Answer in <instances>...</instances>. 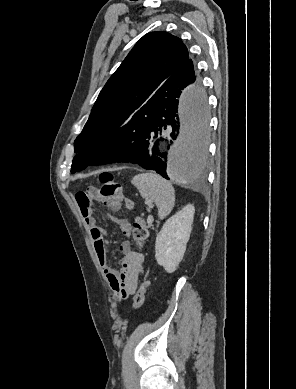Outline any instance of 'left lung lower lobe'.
Returning <instances> with one entry per match:
<instances>
[{
  "label": "left lung lower lobe",
  "mask_w": 296,
  "mask_h": 389,
  "mask_svg": "<svg viewBox=\"0 0 296 389\" xmlns=\"http://www.w3.org/2000/svg\"><path fill=\"white\" fill-rule=\"evenodd\" d=\"M185 87L191 95L193 108V123L186 130V138L194 164L192 178L198 177L207 157V102L201 82L195 81L191 74L169 78L155 92L151 103L137 111L101 147L98 165L130 162L169 179L166 175L167 152H161L159 146L164 140L167 141L162 134L163 130L170 129L173 140L179 134L178 98ZM169 142L172 143V140Z\"/></svg>",
  "instance_id": "left-lung-lower-lobe-1"
}]
</instances>
